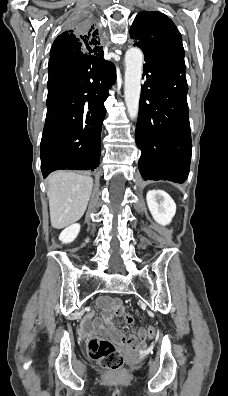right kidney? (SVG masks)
I'll return each mask as SVG.
<instances>
[{
  "label": "right kidney",
  "instance_id": "right-kidney-1",
  "mask_svg": "<svg viewBox=\"0 0 228 396\" xmlns=\"http://www.w3.org/2000/svg\"><path fill=\"white\" fill-rule=\"evenodd\" d=\"M80 232V224H72L69 227L65 228L60 236L59 240L62 241L63 243H71L76 239Z\"/></svg>",
  "mask_w": 228,
  "mask_h": 396
}]
</instances>
